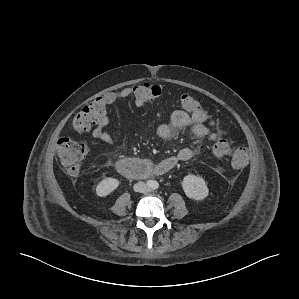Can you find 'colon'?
Listing matches in <instances>:
<instances>
[{"mask_svg": "<svg viewBox=\"0 0 299 299\" xmlns=\"http://www.w3.org/2000/svg\"><path fill=\"white\" fill-rule=\"evenodd\" d=\"M132 91L134 96L144 103L154 101L161 94L160 87L151 83H143L135 86L132 88ZM179 101L180 106L185 111L193 112L200 108L197 99L188 93L181 94ZM105 113L106 104L104 100L97 98L85 105L82 110L74 116L70 127L77 133H84L88 131L92 125L96 124ZM211 125L215 128V132L211 135L213 155L217 158L230 156L234 167H245L249 160L247 151L242 148H232L228 141L220 137L219 124L212 122ZM57 152L62 165L66 168L68 173L76 175L82 168L87 154V146L72 138L64 137L58 141Z\"/></svg>", "mask_w": 299, "mask_h": 299, "instance_id": "5ec220e1", "label": "colon"}]
</instances>
